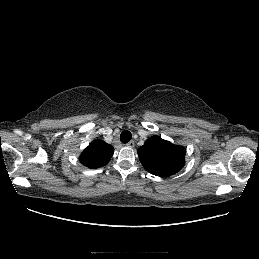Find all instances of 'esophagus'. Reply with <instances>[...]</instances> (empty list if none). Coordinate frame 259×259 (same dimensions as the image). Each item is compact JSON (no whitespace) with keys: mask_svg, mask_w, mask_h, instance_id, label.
I'll list each match as a JSON object with an SVG mask.
<instances>
[{"mask_svg":"<svg viewBox=\"0 0 259 259\" xmlns=\"http://www.w3.org/2000/svg\"><path fill=\"white\" fill-rule=\"evenodd\" d=\"M135 145L134 141H130L126 144L127 147L133 148Z\"/></svg>","mask_w":259,"mask_h":259,"instance_id":"obj_1","label":"esophagus"}]
</instances>
